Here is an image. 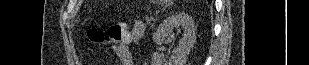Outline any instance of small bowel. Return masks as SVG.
<instances>
[{
  "label": "small bowel",
  "instance_id": "small-bowel-1",
  "mask_svg": "<svg viewBox=\"0 0 309 65\" xmlns=\"http://www.w3.org/2000/svg\"><path fill=\"white\" fill-rule=\"evenodd\" d=\"M145 26L143 22L137 20L132 29L127 31L123 39L116 43L113 51L121 65H134L130 46L137 43L144 35Z\"/></svg>",
  "mask_w": 309,
  "mask_h": 65
}]
</instances>
